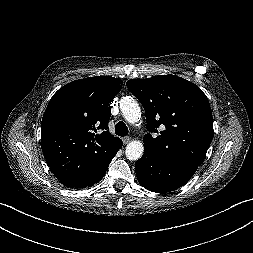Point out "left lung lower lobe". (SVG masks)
<instances>
[{
	"mask_svg": "<svg viewBox=\"0 0 253 253\" xmlns=\"http://www.w3.org/2000/svg\"><path fill=\"white\" fill-rule=\"evenodd\" d=\"M200 165L190 162L169 165L159 161L148 149L135 163L139 183L149 191L165 193L186 184Z\"/></svg>",
	"mask_w": 253,
	"mask_h": 253,
	"instance_id": "1",
	"label": "left lung lower lobe"
}]
</instances>
